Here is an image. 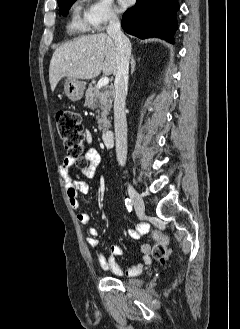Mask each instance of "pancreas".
I'll use <instances>...</instances> for the list:
<instances>
[{
  "label": "pancreas",
  "instance_id": "cf45deb5",
  "mask_svg": "<svg viewBox=\"0 0 240 329\" xmlns=\"http://www.w3.org/2000/svg\"><path fill=\"white\" fill-rule=\"evenodd\" d=\"M85 104L92 110L97 109L99 130L105 132L111 127L108 119L110 109L112 107L113 93L107 87L98 89L96 86L90 85L85 93Z\"/></svg>",
  "mask_w": 240,
  "mask_h": 329
}]
</instances>
